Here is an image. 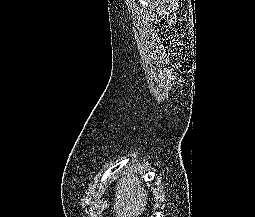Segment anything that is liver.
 Returning <instances> with one entry per match:
<instances>
[{"mask_svg":"<svg viewBox=\"0 0 255 217\" xmlns=\"http://www.w3.org/2000/svg\"><path fill=\"white\" fill-rule=\"evenodd\" d=\"M146 190L136 176L123 177L116 184L112 205L115 217H139L146 206Z\"/></svg>","mask_w":255,"mask_h":217,"instance_id":"6515ba94","label":"liver"}]
</instances>
